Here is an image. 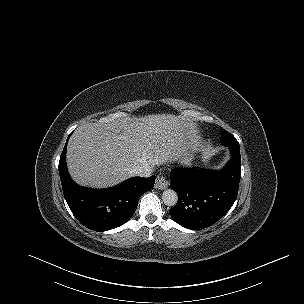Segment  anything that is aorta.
<instances>
[{
	"instance_id": "1",
	"label": "aorta",
	"mask_w": 304,
	"mask_h": 304,
	"mask_svg": "<svg viewBox=\"0 0 304 304\" xmlns=\"http://www.w3.org/2000/svg\"><path fill=\"white\" fill-rule=\"evenodd\" d=\"M162 200L167 206H175L178 202V195L174 190L166 189L162 194Z\"/></svg>"
}]
</instances>
